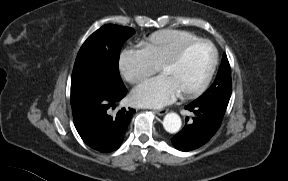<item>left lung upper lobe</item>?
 Listing matches in <instances>:
<instances>
[{"mask_svg": "<svg viewBox=\"0 0 288 181\" xmlns=\"http://www.w3.org/2000/svg\"><path fill=\"white\" fill-rule=\"evenodd\" d=\"M232 89L231 70L226 54H223L222 62L214 83L195 101L196 103H210L226 110Z\"/></svg>", "mask_w": 288, "mask_h": 181, "instance_id": "left-lung-upper-lobe-1", "label": "left lung upper lobe"}]
</instances>
